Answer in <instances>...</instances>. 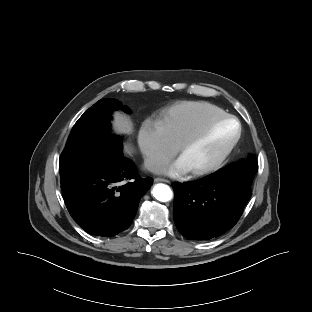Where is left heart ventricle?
<instances>
[{
	"label": "left heart ventricle",
	"instance_id": "obj_1",
	"mask_svg": "<svg viewBox=\"0 0 312 312\" xmlns=\"http://www.w3.org/2000/svg\"><path fill=\"white\" fill-rule=\"evenodd\" d=\"M237 125L227 120L214 126L210 132L198 142L189 146L183 153L191 169L202 166L215 158L236 134Z\"/></svg>",
	"mask_w": 312,
	"mask_h": 312
}]
</instances>
